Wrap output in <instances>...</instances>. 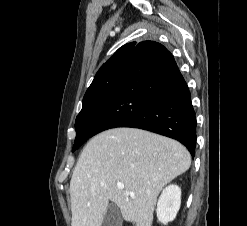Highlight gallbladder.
I'll use <instances>...</instances> for the list:
<instances>
[{
    "mask_svg": "<svg viewBox=\"0 0 247 226\" xmlns=\"http://www.w3.org/2000/svg\"><path fill=\"white\" fill-rule=\"evenodd\" d=\"M101 226H122V214L116 204L108 206Z\"/></svg>",
    "mask_w": 247,
    "mask_h": 226,
    "instance_id": "1",
    "label": "gallbladder"
}]
</instances>
